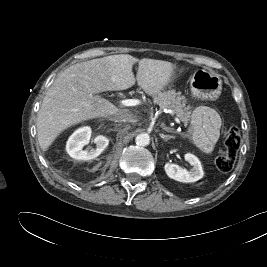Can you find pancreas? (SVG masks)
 <instances>
[{
    "mask_svg": "<svg viewBox=\"0 0 267 267\" xmlns=\"http://www.w3.org/2000/svg\"><path fill=\"white\" fill-rule=\"evenodd\" d=\"M154 103L159 105L161 109H171L185 125L190 121V107L186 106L183 97L177 96L174 90L160 91L154 96Z\"/></svg>",
    "mask_w": 267,
    "mask_h": 267,
    "instance_id": "pancreas-1",
    "label": "pancreas"
}]
</instances>
